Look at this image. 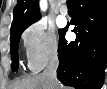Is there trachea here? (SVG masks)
Wrapping results in <instances>:
<instances>
[{
	"instance_id": "trachea-1",
	"label": "trachea",
	"mask_w": 107,
	"mask_h": 89,
	"mask_svg": "<svg viewBox=\"0 0 107 89\" xmlns=\"http://www.w3.org/2000/svg\"><path fill=\"white\" fill-rule=\"evenodd\" d=\"M67 5H73V0H67Z\"/></svg>"
}]
</instances>
